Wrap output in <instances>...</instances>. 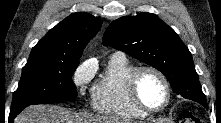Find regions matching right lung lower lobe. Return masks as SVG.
<instances>
[{
	"mask_svg": "<svg viewBox=\"0 0 221 123\" xmlns=\"http://www.w3.org/2000/svg\"><path fill=\"white\" fill-rule=\"evenodd\" d=\"M16 116H17V114L10 113V120H13Z\"/></svg>",
	"mask_w": 221,
	"mask_h": 123,
	"instance_id": "right-lung-lower-lobe-1",
	"label": "right lung lower lobe"
}]
</instances>
